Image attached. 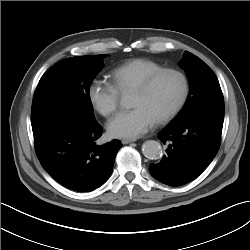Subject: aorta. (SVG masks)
Masks as SVG:
<instances>
[{
    "instance_id": "aorta-1",
    "label": "aorta",
    "mask_w": 250,
    "mask_h": 250,
    "mask_svg": "<svg viewBox=\"0 0 250 250\" xmlns=\"http://www.w3.org/2000/svg\"><path fill=\"white\" fill-rule=\"evenodd\" d=\"M121 104L127 107L129 105V99L123 97ZM142 153L148 159L157 160L162 156V147L160 143L155 140H147L142 145Z\"/></svg>"
}]
</instances>
